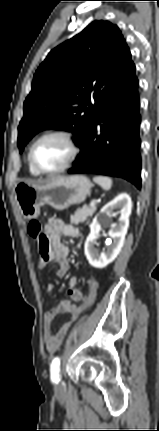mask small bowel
<instances>
[{
    "label": "small bowel",
    "mask_w": 159,
    "mask_h": 431,
    "mask_svg": "<svg viewBox=\"0 0 159 431\" xmlns=\"http://www.w3.org/2000/svg\"><path fill=\"white\" fill-rule=\"evenodd\" d=\"M62 235L67 237H78L79 230L70 224H66L60 219H50L44 226L43 236L37 238L40 258L38 268L44 269L48 264L57 266L56 274L58 277H64L69 269L68 262L69 248L62 242ZM77 277L72 276L69 279L68 295L75 302H83L88 293L84 294L77 289ZM54 286L49 284L47 291L52 292ZM97 294V290H96ZM78 306L70 300H61L58 304L50 309L45 316L44 321V343L49 352H54L64 340L72 320L75 318L70 314L71 310H76ZM68 314L71 320L66 321L57 332H53L52 323L59 314Z\"/></svg>",
    "instance_id": "obj_1"
}]
</instances>
